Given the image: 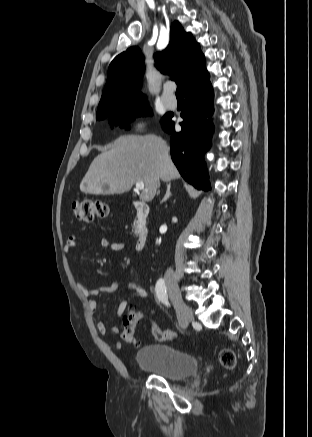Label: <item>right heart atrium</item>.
Wrapping results in <instances>:
<instances>
[{"label":"right heart atrium","mask_w":312,"mask_h":437,"mask_svg":"<svg viewBox=\"0 0 312 437\" xmlns=\"http://www.w3.org/2000/svg\"><path fill=\"white\" fill-rule=\"evenodd\" d=\"M144 127V122H138L137 124H136V128L137 129H141V128H143Z\"/></svg>","instance_id":"1"}]
</instances>
